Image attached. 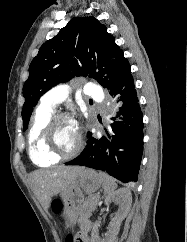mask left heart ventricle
<instances>
[{"mask_svg": "<svg viewBox=\"0 0 187 242\" xmlns=\"http://www.w3.org/2000/svg\"><path fill=\"white\" fill-rule=\"evenodd\" d=\"M76 126L70 121H60L53 133V146L60 152H69L77 144Z\"/></svg>", "mask_w": 187, "mask_h": 242, "instance_id": "left-heart-ventricle-1", "label": "left heart ventricle"}]
</instances>
